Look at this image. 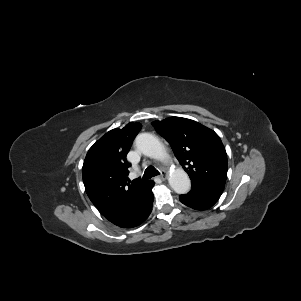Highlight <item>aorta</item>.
Segmentation results:
<instances>
[{
	"mask_svg": "<svg viewBox=\"0 0 301 301\" xmlns=\"http://www.w3.org/2000/svg\"><path fill=\"white\" fill-rule=\"evenodd\" d=\"M137 148L146 156L158 160L165 158L164 146L157 137L150 133H141L135 139ZM171 188L178 194H186L191 187V182L187 173L177 168L172 171L168 178Z\"/></svg>",
	"mask_w": 301,
	"mask_h": 301,
	"instance_id": "1",
	"label": "aorta"
}]
</instances>
